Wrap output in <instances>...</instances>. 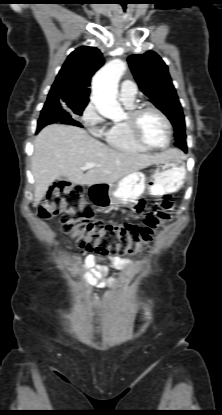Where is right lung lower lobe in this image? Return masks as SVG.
I'll use <instances>...</instances> for the list:
<instances>
[{"mask_svg":"<svg viewBox=\"0 0 222 415\" xmlns=\"http://www.w3.org/2000/svg\"><path fill=\"white\" fill-rule=\"evenodd\" d=\"M55 122L67 123V124H72V125L82 127V125L79 122L73 120L71 118V115L65 112L62 108H57V109L43 108V110L41 111L40 118L38 120L37 132H39L44 126L55 123Z\"/></svg>","mask_w":222,"mask_h":415,"instance_id":"obj_1","label":"right lung lower lobe"}]
</instances>
